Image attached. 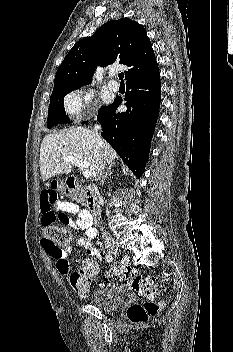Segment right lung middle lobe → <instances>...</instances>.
I'll use <instances>...</instances> for the list:
<instances>
[{
	"instance_id": "right-lung-middle-lobe-1",
	"label": "right lung middle lobe",
	"mask_w": 233,
	"mask_h": 352,
	"mask_svg": "<svg viewBox=\"0 0 233 352\" xmlns=\"http://www.w3.org/2000/svg\"><path fill=\"white\" fill-rule=\"evenodd\" d=\"M83 85H65L53 88L50 98V105L47 118V127L52 128L59 123L69 122L64 109V97L72 90L78 89Z\"/></svg>"
}]
</instances>
